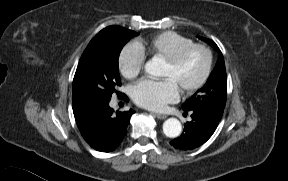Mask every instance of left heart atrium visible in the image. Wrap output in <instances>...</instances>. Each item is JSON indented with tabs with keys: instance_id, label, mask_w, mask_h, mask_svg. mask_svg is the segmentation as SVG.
I'll return each mask as SVG.
<instances>
[{
	"instance_id": "1",
	"label": "left heart atrium",
	"mask_w": 288,
	"mask_h": 181,
	"mask_svg": "<svg viewBox=\"0 0 288 181\" xmlns=\"http://www.w3.org/2000/svg\"><path fill=\"white\" fill-rule=\"evenodd\" d=\"M132 97L139 106L160 111L178 98V88L168 78L142 79L132 87Z\"/></svg>"
}]
</instances>
